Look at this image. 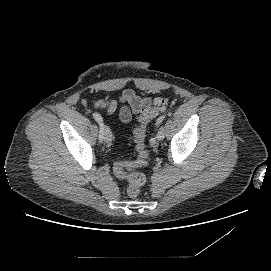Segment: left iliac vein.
I'll use <instances>...</instances> for the list:
<instances>
[{
  "instance_id": "1",
  "label": "left iliac vein",
  "mask_w": 271,
  "mask_h": 271,
  "mask_svg": "<svg viewBox=\"0 0 271 271\" xmlns=\"http://www.w3.org/2000/svg\"><path fill=\"white\" fill-rule=\"evenodd\" d=\"M165 137V130L163 127H160L158 133H157V140L162 141Z\"/></svg>"
}]
</instances>
